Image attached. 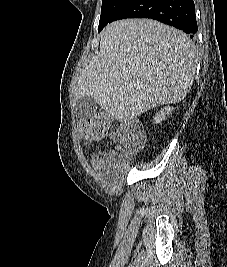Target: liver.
Returning <instances> with one entry per match:
<instances>
[{
	"label": "liver",
	"mask_w": 227,
	"mask_h": 267,
	"mask_svg": "<svg viewBox=\"0 0 227 267\" xmlns=\"http://www.w3.org/2000/svg\"><path fill=\"white\" fill-rule=\"evenodd\" d=\"M195 48L182 32L150 19H126L104 28L100 50L80 72L77 100L91 95L120 122L189 93Z\"/></svg>",
	"instance_id": "liver-1"
}]
</instances>
